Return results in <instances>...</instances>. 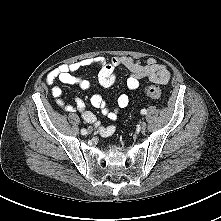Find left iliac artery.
<instances>
[{
  "instance_id": "44dca946",
  "label": "left iliac artery",
  "mask_w": 221,
  "mask_h": 221,
  "mask_svg": "<svg viewBox=\"0 0 221 221\" xmlns=\"http://www.w3.org/2000/svg\"><path fill=\"white\" fill-rule=\"evenodd\" d=\"M146 113H147V111H146L145 109H142V110H141V114H142V115H144V114H146Z\"/></svg>"
}]
</instances>
